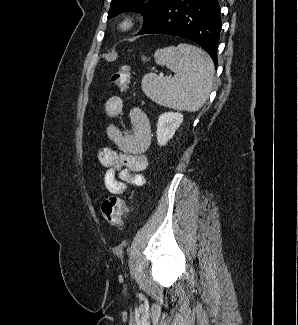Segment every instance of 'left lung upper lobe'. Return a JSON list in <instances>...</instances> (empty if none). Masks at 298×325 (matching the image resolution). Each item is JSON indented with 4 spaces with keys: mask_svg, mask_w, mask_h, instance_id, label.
I'll return each mask as SVG.
<instances>
[{
    "mask_svg": "<svg viewBox=\"0 0 298 325\" xmlns=\"http://www.w3.org/2000/svg\"><path fill=\"white\" fill-rule=\"evenodd\" d=\"M168 0H112L108 18L121 12L135 10L144 15V24L148 23Z\"/></svg>",
    "mask_w": 298,
    "mask_h": 325,
    "instance_id": "5c2ea615",
    "label": "left lung upper lobe"
}]
</instances>
